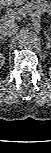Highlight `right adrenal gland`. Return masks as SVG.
<instances>
[{
    "label": "right adrenal gland",
    "mask_w": 51,
    "mask_h": 153,
    "mask_svg": "<svg viewBox=\"0 0 51 153\" xmlns=\"http://www.w3.org/2000/svg\"><path fill=\"white\" fill-rule=\"evenodd\" d=\"M6 40H7V38L0 37V42L6 41Z\"/></svg>",
    "instance_id": "1"
}]
</instances>
